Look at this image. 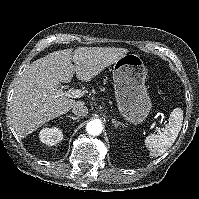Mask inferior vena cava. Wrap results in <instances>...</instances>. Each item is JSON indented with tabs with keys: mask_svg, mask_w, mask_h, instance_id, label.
Returning a JSON list of instances; mask_svg holds the SVG:
<instances>
[{
	"mask_svg": "<svg viewBox=\"0 0 199 199\" xmlns=\"http://www.w3.org/2000/svg\"><path fill=\"white\" fill-rule=\"evenodd\" d=\"M72 112L77 116H86L88 114V108L82 102H77L72 107Z\"/></svg>",
	"mask_w": 199,
	"mask_h": 199,
	"instance_id": "obj_1",
	"label": "inferior vena cava"
}]
</instances>
